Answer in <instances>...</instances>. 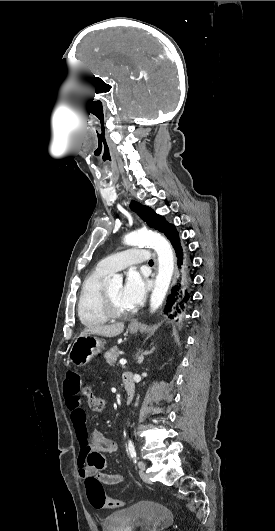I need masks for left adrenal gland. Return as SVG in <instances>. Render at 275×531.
Returning <instances> with one entry per match:
<instances>
[{"label":"left adrenal gland","mask_w":275,"mask_h":531,"mask_svg":"<svg viewBox=\"0 0 275 531\" xmlns=\"http://www.w3.org/2000/svg\"><path fill=\"white\" fill-rule=\"evenodd\" d=\"M151 345H153V343H151ZM153 351H155V347H152V349H150V351H144V353H142V351H139V353H141V355H138V357H137L138 365H141V363H143L144 355H150V353H153Z\"/></svg>","instance_id":"obj_1"}]
</instances>
